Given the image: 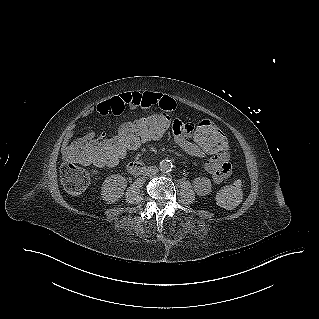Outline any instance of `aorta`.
Segmentation results:
<instances>
[{
    "mask_svg": "<svg viewBox=\"0 0 319 319\" xmlns=\"http://www.w3.org/2000/svg\"><path fill=\"white\" fill-rule=\"evenodd\" d=\"M159 168L164 173L170 172L173 168V163L171 160L163 159L159 163Z\"/></svg>",
    "mask_w": 319,
    "mask_h": 319,
    "instance_id": "1",
    "label": "aorta"
}]
</instances>
